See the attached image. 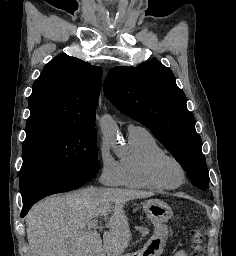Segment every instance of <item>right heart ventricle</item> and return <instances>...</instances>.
Here are the masks:
<instances>
[{"instance_id": "1", "label": "right heart ventricle", "mask_w": 236, "mask_h": 256, "mask_svg": "<svg viewBox=\"0 0 236 256\" xmlns=\"http://www.w3.org/2000/svg\"><path fill=\"white\" fill-rule=\"evenodd\" d=\"M129 141L131 154L120 160L123 176L122 185L132 189H162L152 182L148 168L153 157L165 153L163 148L145 129L130 134Z\"/></svg>"}]
</instances>
